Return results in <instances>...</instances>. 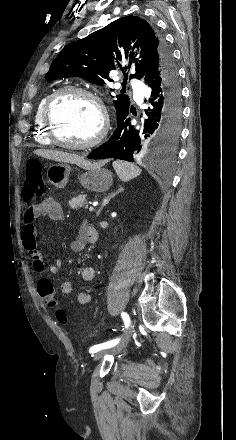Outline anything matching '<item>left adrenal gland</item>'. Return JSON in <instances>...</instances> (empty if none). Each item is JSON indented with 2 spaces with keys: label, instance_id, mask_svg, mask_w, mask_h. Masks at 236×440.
<instances>
[{
  "label": "left adrenal gland",
  "instance_id": "obj_1",
  "mask_svg": "<svg viewBox=\"0 0 236 440\" xmlns=\"http://www.w3.org/2000/svg\"><path fill=\"white\" fill-rule=\"evenodd\" d=\"M123 190H124V189H123L122 187H119L117 191H115L114 193H112V194H110L109 196L105 197V198L103 199V202H102L101 207H100V208L98 209V211H97V216L100 215V212L102 211L103 207H105V206L109 203V201H110L113 197H115V195H117L118 193L122 192Z\"/></svg>",
  "mask_w": 236,
  "mask_h": 440
}]
</instances>
